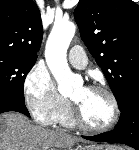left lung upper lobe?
Segmentation results:
<instances>
[{"instance_id":"left-lung-upper-lobe-1","label":"left lung upper lobe","mask_w":139,"mask_h":150,"mask_svg":"<svg viewBox=\"0 0 139 150\" xmlns=\"http://www.w3.org/2000/svg\"><path fill=\"white\" fill-rule=\"evenodd\" d=\"M74 16L121 107L139 88V5L132 0H80Z\"/></svg>"}]
</instances>
